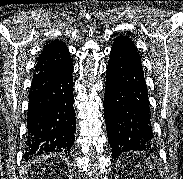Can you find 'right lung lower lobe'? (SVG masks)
<instances>
[{"mask_svg": "<svg viewBox=\"0 0 183 179\" xmlns=\"http://www.w3.org/2000/svg\"><path fill=\"white\" fill-rule=\"evenodd\" d=\"M72 73L73 66L35 73L29 92L26 160L52 152L69 153L76 130Z\"/></svg>", "mask_w": 183, "mask_h": 179, "instance_id": "obj_1", "label": "right lung lower lobe"}]
</instances>
